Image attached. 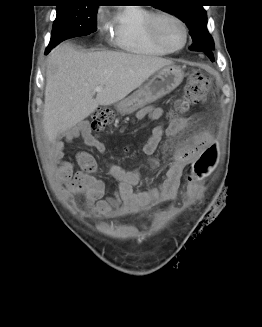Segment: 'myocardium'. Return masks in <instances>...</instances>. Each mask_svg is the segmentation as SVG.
Returning <instances> with one entry per match:
<instances>
[{"label":"myocardium","mask_w":262,"mask_h":327,"mask_svg":"<svg viewBox=\"0 0 262 327\" xmlns=\"http://www.w3.org/2000/svg\"><path fill=\"white\" fill-rule=\"evenodd\" d=\"M163 18H169L172 19L174 21H176L177 23H179L181 25V27L183 28L184 31V41L183 44L179 47H172L170 46L162 37L161 33H160V29H159V23ZM149 31L152 35V37L154 38V40L160 44L163 48H165L166 50L170 51V52H177L182 50L188 43V39H189V29L188 26L186 24V22L178 15L172 13V12H168V11H158L155 12L149 21Z\"/></svg>","instance_id":"f54148a6"}]
</instances>
